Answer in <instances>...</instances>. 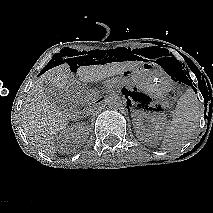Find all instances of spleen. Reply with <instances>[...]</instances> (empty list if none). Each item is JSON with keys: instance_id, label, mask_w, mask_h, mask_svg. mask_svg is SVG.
Here are the masks:
<instances>
[{"instance_id": "spleen-1", "label": "spleen", "mask_w": 213, "mask_h": 213, "mask_svg": "<svg viewBox=\"0 0 213 213\" xmlns=\"http://www.w3.org/2000/svg\"><path fill=\"white\" fill-rule=\"evenodd\" d=\"M202 113L201 104L194 90L187 89L177 101L173 119L166 127L161 149L172 151L185 145L196 133Z\"/></svg>"}]
</instances>
